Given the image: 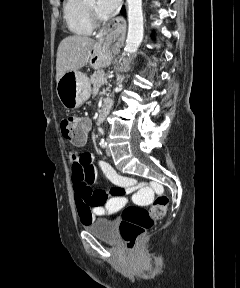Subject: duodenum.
<instances>
[{"mask_svg":"<svg viewBox=\"0 0 240 288\" xmlns=\"http://www.w3.org/2000/svg\"><path fill=\"white\" fill-rule=\"evenodd\" d=\"M111 106H112V101L110 99L105 100L104 104L102 105V107L97 113V119L103 120L108 114Z\"/></svg>","mask_w":240,"mask_h":288,"instance_id":"obj_1","label":"duodenum"}]
</instances>
